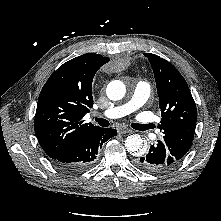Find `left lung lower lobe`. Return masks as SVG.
Wrapping results in <instances>:
<instances>
[{
  "mask_svg": "<svg viewBox=\"0 0 221 221\" xmlns=\"http://www.w3.org/2000/svg\"><path fill=\"white\" fill-rule=\"evenodd\" d=\"M178 163L163 141L151 145L149 152L136 160V165L149 173H166Z\"/></svg>",
  "mask_w": 221,
  "mask_h": 221,
  "instance_id": "0a47b994",
  "label": "left lung lower lobe"
}]
</instances>
